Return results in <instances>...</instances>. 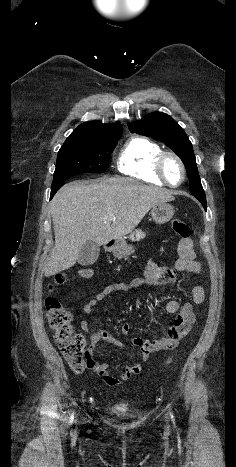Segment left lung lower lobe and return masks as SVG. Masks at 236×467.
Instances as JSON below:
<instances>
[{
    "mask_svg": "<svg viewBox=\"0 0 236 467\" xmlns=\"http://www.w3.org/2000/svg\"><path fill=\"white\" fill-rule=\"evenodd\" d=\"M203 205L204 209L206 210L207 203H206V197L205 196H195Z\"/></svg>",
    "mask_w": 236,
    "mask_h": 467,
    "instance_id": "1",
    "label": "left lung lower lobe"
}]
</instances>
